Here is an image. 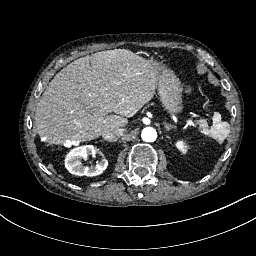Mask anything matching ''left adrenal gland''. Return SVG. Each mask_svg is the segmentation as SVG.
<instances>
[{
    "label": "left adrenal gland",
    "instance_id": "left-adrenal-gland-1",
    "mask_svg": "<svg viewBox=\"0 0 256 256\" xmlns=\"http://www.w3.org/2000/svg\"><path fill=\"white\" fill-rule=\"evenodd\" d=\"M164 127H165V130H166V131H169V130H171V129H175V126H171V125H169L168 123H165V124H164Z\"/></svg>",
    "mask_w": 256,
    "mask_h": 256
}]
</instances>
